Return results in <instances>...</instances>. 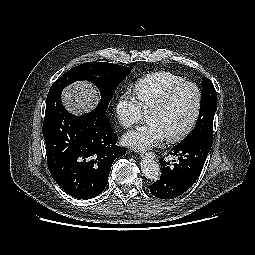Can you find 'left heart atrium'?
Segmentation results:
<instances>
[{
  "label": "left heart atrium",
  "instance_id": "39dd6f15",
  "mask_svg": "<svg viewBox=\"0 0 255 255\" xmlns=\"http://www.w3.org/2000/svg\"><path fill=\"white\" fill-rule=\"evenodd\" d=\"M162 128L155 122L126 132L122 137V143L134 150L144 151L159 145L165 138Z\"/></svg>",
  "mask_w": 255,
  "mask_h": 255
}]
</instances>
